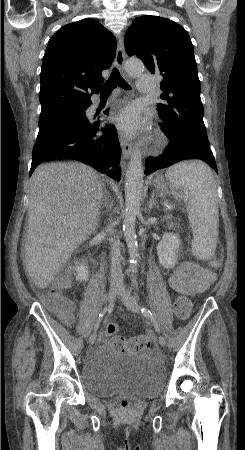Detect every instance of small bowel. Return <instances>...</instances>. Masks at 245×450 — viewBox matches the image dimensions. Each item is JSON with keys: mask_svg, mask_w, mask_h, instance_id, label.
<instances>
[{"mask_svg": "<svg viewBox=\"0 0 245 450\" xmlns=\"http://www.w3.org/2000/svg\"><path fill=\"white\" fill-rule=\"evenodd\" d=\"M215 280L216 274L210 269L184 262L171 273L169 284L177 293L191 296L207 290ZM100 341L98 350H104L108 344L107 335H101Z\"/></svg>", "mask_w": 245, "mask_h": 450, "instance_id": "obj_1", "label": "small bowel"}]
</instances>
